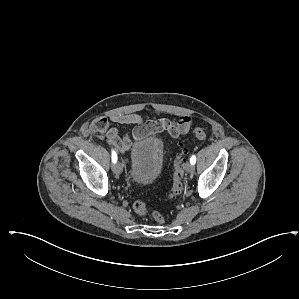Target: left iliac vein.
I'll return each mask as SVG.
<instances>
[{"instance_id":"4c4485c4","label":"left iliac vein","mask_w":299,"mask_h":299,"mask_svg":"<svg viewBox=\"0 0 299 299\" xmlns=\"http://www.w3.org/2000/svg\"><path fill=\"white\" fill-rule=\"evenodd\" d=\"M185 170H186V172H188V173H193V171H194V165L193 164H191V163H186V165H185Z\"/></svg>"}]
</instances>
